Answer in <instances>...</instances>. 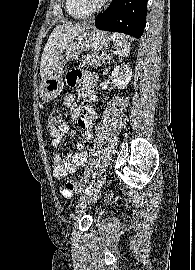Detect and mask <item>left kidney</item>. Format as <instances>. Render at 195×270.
Wrapping results in <instances>:
<instances>
[{"instance_id": "obj_1", "label": "left kidney", "mask_w": 195, "mask_h": 270, "mask_svg": "<svg viewBox=\"0 0 195 270\" xmlns=\"http://www.w3.org/2000/svg\"><path fill=\"white\" fill-rule=\"evenodd\" d=\"M131 77H132V69L127 64H121L116 66L110 75L112 82L119 89H124L130 82Z\"/></svg>"}]
</instances>
